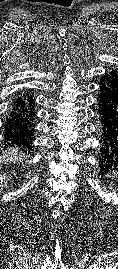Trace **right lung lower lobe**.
<instances>
[{
    "instance_id": "98d812e1",
    "label": "right lung lower lobe",
    "mask_w": 118,
    "mask_h": 269,
    "mask_svg": "<svg viewBox=\"0 0 118 269\" xmlns=\"http://www.w3.org/2000/svg\"><path fill=\"white\" fill-rule=\"evenodd\" d=\"M34 106L31 96H19L15 99L4 125L5 142L31 149L34 133Z\"/></svg>"
}]
</instances>
